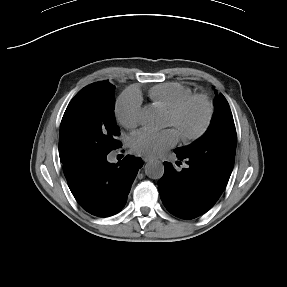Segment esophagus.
I'll use <instances>...</instances> for the list:
<instances>
[{
	"label": "esophagus",
	"instance_id": "1",
	"mask_svg": "<svg viewBox=\"0 0 287 287\" xmlns=\"http://www.w3.org/2000/svg\"><path fill=\"white\" fill-rule=\"evenodd\" d=\"M143 161H144V162H149V161H151V159H150L149 157H144V158H143Z\"/></svg>",
	"mask_w": 287,
	"mask_h": 287
}]
</instances>
